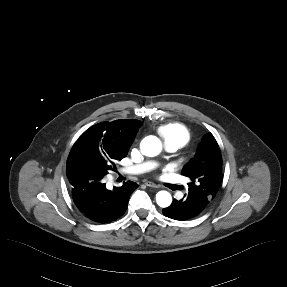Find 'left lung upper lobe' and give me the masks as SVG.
Instances as JSON below:
<instances>
[{
	"label": "left lung upper lobe",
	"instance_id": "1",
	"mask_svg": "<svg viewBox=\"0 0 287 287\" xmlns=\"http://www.w3.org/2000/svg\"><path fill=\"white\" fill-rule=\"evenodd\" d=\"M182 174L191 179L188 195L208 205L222 180L221 153L211 133L204 136L195 157L184 166Z\"/></svg>",
	"mask_w": 287,
	"mask_h": 287
}]
</instances>
